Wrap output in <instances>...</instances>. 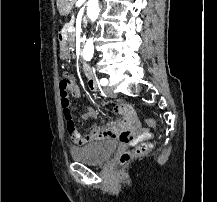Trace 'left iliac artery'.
I'll return each instance as SVG.
<instances>
[{"label":"left iliac artery","mask_w":217,"mask_h":202,"mask_svg":"<svg viewBox=\"0 0 217 202\" xmlns=\"http://www.w3.org/2000/svg\"><path fill=\"white\" fill-rule=\"evenodd\" d=\"M100 84H101L102 86H106V85L108 84V80H107L106 78H102V79L100 80Z\"/></svg>","instance_id":"obj_1"}]
</instances>
